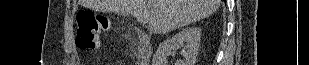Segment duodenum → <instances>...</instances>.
Instances as JSON below:
<instances>
[{
	"mask_svg": "<svg viewBox=\"0 0 309 65\" xmlns=\"http://www.w3.org/2000/svg\"><path fill=\"white\" fill-rule=\"evenodd\" d=\"M138 45V65H149L152 56V45L149 36L139 33L136 38Z\"/></svg>",
	"mask_w": 309,
	"mask_h": 65,
	"instance_id": "1",
	"label": "duodenum"
}]
</instances>
